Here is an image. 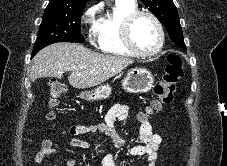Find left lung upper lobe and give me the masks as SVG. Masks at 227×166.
<instances>
[{"instance_id": "1", "label": "left lung upper lobe", "mask_w": 227, "mask_h": 166, "mask_svg": "<svg viewBox=\"0 0 227 166\" xmlns=\"http://www.w3.org/2000/svg\"><path fill=\"white\" fill-rule=\"evenodd\" d=\"M167 29L171 40L186 50L178 12L172 0H141Z\"/></svg>"}]
</instances>
